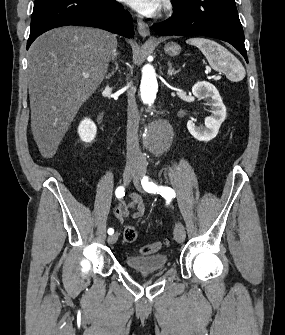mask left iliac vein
Segmentation results:
<instances>
[{
  "mask_svg": "<svg viewBox=\"0 0 285 335\" xmlns=\"http://www.w3.org/2000/svg\"><path fill=\"white\" fill-rule=\"evenodd\" d=\"M140 181H141V177L139 174H137V176L133 178V183L138 191H143ZM185 237H186V233H185L184 225L182 224V222L178 221L174 228V238L177 242L181 243L184 241Z\"/></svg>",
  "mask_w": 285,
  "mask_h": 335,
  "instance_id": "obj_1",
  "label": "left iliac vein"
}]
</instances>
